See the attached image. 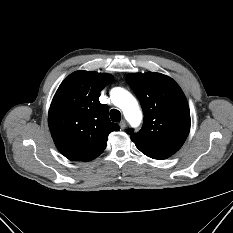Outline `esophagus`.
I'll return each instance as SVG.
<instances>
[{
	"label": "esophagus",
	"instance_id": "1",
	"mask_svg": "<svg viewBox=\"0 0 233 233\" xmlns=\"http://www.w3.org/2000/svg\"><path fill=\"white\" fill-rule=\"evenodd\" d=\"M119 126H120V128L123 130V129H125V127H126V121L125 120H122L120 123H119Z\"/></svg>",
	"mask_w": 233,
	"mask_h": 233
}]
</instances>
